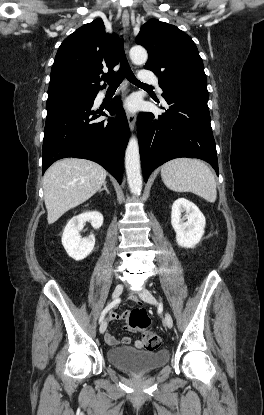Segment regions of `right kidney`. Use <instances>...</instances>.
<instances>
[{"mask_svg": "<svg viewBox=\"0 0 264 415\" xmlns=\"http://www.w3.org/2000/svg\"><path fill=\"white\" fill-rule=\"evenodd\" d=\"M86 221H90L93 228L99 229L103 224V216L97 211L79 214L67 223L63 231L62 245L67 254L76 261L86 258L95 245L93 234L84 239L79 235V231L84 227Z\"/></svg>", "mask_w": 264, "mask_h": 415, "instance_id": "right-kidney-1", "label": "right kidney"}]
</instances>
